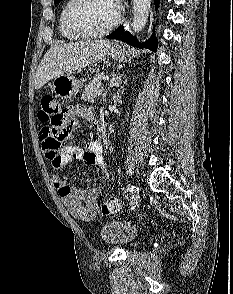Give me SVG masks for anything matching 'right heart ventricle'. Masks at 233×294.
I'll return each mask as SVG.
<instances>
[{
    "instance_id": "obj_1",
    "label": "right heart ventricle",
    "mask_w": 233,
    "mask_h": 294,
    "mask_svg": "<svg viewBox=\"0 0 233 294\" xmlns=\"http://www.w3.org/2000/svg\"><path fill=\"white\" fill-rule=\"evenodd\" d=\"M72 3V0H66L63 4L59 17H58V29L60 35L66 40H78L81 37L76 35L67 24V12Z\"/></svg>"
}]
</instances>
